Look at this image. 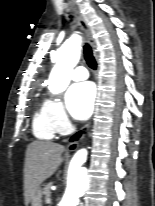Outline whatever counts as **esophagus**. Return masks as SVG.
<instances>
[{
    "mask_svg": "<svg viewBox=\"0 0 155 206\" xmlns=\"http://www.w3.org/2000/svg\"><path fill=\"white\" fill-rule=\"evenodd\" d=\"M70 5L77 17L78 23L82 29V31L84 32L87 40L89 41V43L94 47V39L91 33V30L88 26V23L86 22L85 18L83 17V15L80 13V11L78 10V8L75 6L74 3L70 2ZM70 149H75L76 148V144H70L69 146Z\"/></svg>",
    "mask_w": 155,
    "mask_h": 206,
    "instance_id": "obj_1",
    "label": "esophagus"
}]
</instances>
